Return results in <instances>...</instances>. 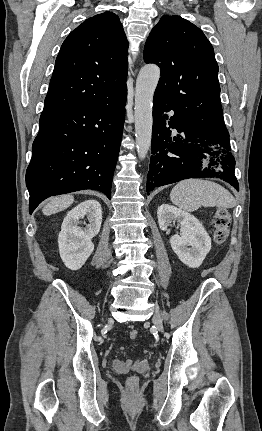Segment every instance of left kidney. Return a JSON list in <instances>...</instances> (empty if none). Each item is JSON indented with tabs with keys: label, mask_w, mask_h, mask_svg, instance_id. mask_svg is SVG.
<instances>
[{
	"label": "left kidney",
	"mask_w": 262,
	"mask_h": 431,
	"mask_svg": "<svg viewBox=\"0 0 262 431\" xmlns=\"http://www.w3.org/2000/svg\"><path fill=\"white\" fill-rule=\"evenodd\" d=\"M157 216L161 230H167L175 221L181 225V235L170 238L171 247L181 262L188 267L198 268L211 249V238L199 220L168 204L158 208Z\"/></svg>",
	"instance_id": "obj_1"
}]
</instances>
